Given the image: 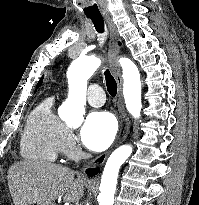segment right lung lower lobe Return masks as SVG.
<instances>
[{"mask_svg": "<svg viewBox=\"0 0 199 205\" xmlns=\"http://www.w3.org/2000/svg\"><path fill=\"white\" fill-rule=\"evenodd\" d=\"M99 171V168H93V169H88L86 170V173L89 175V176H94L98 173Z\"/></svg>", "mask_w": 199, "mask_h": 205, "instance_id": "right-lung-lower-lobe-1", "label": "right lung lower lobe"}]
</instances>
